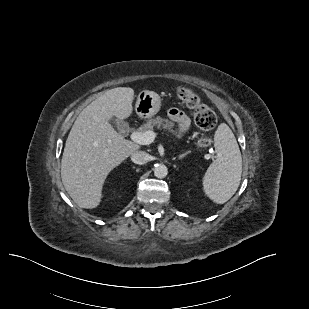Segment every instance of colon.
<instances>
[{"label":"colon","mask_w":309,"mask_h":309,"mask_svg":"<svg viewBox=\"0 0 309 309\" xmlns=\"http://www.w3.org/2000/svg\"><path fill=\"white\" fill-rule=\"evenodd\" d=\"M179 99L193 112L195 124L204 131H209L216 126L217 116L215 112L202 103L200 97L189 88H179L177 91ZM201 147H207L211 144V139L202 136L198 140Z\"/></svg>","instance_id":"obj_1"}]
</instances>
